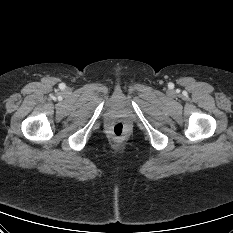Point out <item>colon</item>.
<instances>
[{
	"label": "colon",
	"instance_id": "5ec220e1",
	"mask_svg": "<svg viewBox=\"0 0 233 233\" xmlns=\"http://www.w3.org/2000/svg\"><path fill=\"white\" fill-rule=\"evenodd\" d=\"M125 132H126V127L122 122H117L112 126V133L116 137L123 136Z\"/></svg>",
	"mask_w": 233,
	"mask_h": 233
}]
</instances>
